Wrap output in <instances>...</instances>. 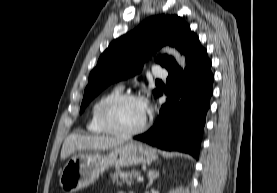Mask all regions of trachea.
Segmentation results:
<instances>
[{"mask_svg":"<svg viewBox=\"0 0 277 193\" xmlns=\"http://www.w3.org/2000/svg\"><path fill=\"white\" fill-rule=\"evenodd\" d=\"M156 82L160 83V82H162V81H160V80H156Z\"/></svg>","mask_w":277,"mask_h":193,"instance_id":"3493384b","label":"trachea"}]
</instances>
